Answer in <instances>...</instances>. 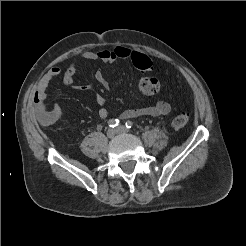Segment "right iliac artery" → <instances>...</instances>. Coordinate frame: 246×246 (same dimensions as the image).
<instances>
[{"label":"right iliac artery","instance_id":"82829eb1","mask_svg":"<svg viewBox=\"0 0 246 246\" xmlns=\"http://www.w3.org/2000/svg\"><path fill=\"white\" fill-rule=\"evenodd\" d=\"M118 125H119V120H118V119H110V120L108 121V126H109V127L114 128V127H116V126H118Z\"/></svg>","mask_w":246,"mask_h":246}]
</instances>
